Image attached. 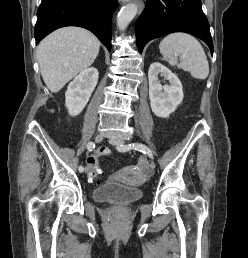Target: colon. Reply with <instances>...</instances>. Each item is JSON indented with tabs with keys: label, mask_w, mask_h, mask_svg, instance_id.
Returning a JSON list of instances; mask_svg holds the SVG:
<instances>
[{
	"label": "colon",
	"mask_w": 248,
	"mask_h": 258,
	"mask_svg": "<svg viewBox=\"0 0 248 258\" xmlns=\"http://www.w3.org/2000/svg\"><path fill=\"white\" fill-rule=\"evenodd\" d=\"M110 155V146L108 144H99L97 151L86 160V179L95 180L98 178L99 171H101V163H99L100 156Z\"/></svg>",
	"instance_id": "5ec220e1"
}]
</instances>
